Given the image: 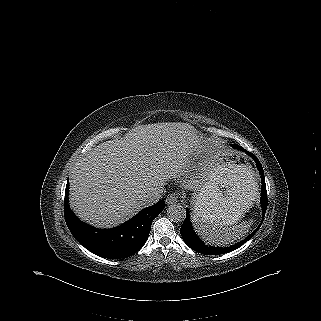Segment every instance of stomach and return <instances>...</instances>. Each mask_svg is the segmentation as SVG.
<instances>
[{"instance_id": "obj_1", "label": "stomach", "mask_w": 321, "mask_h": 321, "mask_svg": "<svg viewBox=\"0 0 321 321\" xmlns=\"http://www.w3.org/2000/svg\"><path fill=\"white\" fill-rule=\"evenodd\" d=\"M197 135L206 141L203 133L197 131ZM257 191L254 171L242 163L239 155L218 156L212 162L207 181L192 199L193 219L217 214L225 223L235 224L253 205Z\"/></svg>"}]
</instances>
